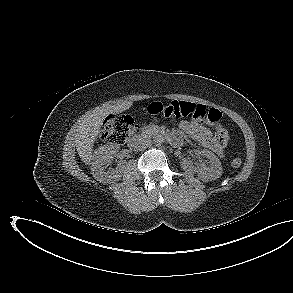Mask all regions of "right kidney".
Segmentation results:
<instances>
[{
  "mask_svg": "<svg viewBox=\"0 0 293 293\" xmlns=\"http://www.w3.org/2000/svg\"><path fill=\"white\" fill-rule=\"evenodd\" d=\"M119 150L117 144H106L100 146L92 157L91 171L93 177L102 183H111L121 177L125 162L119 161L115 169L106 168L112 163L113 158L116 157Z\"/></svg>",
  "mask_w": 293,
  "mask_h": 293,
  "instance_id": "obj_1",
  "label": "right kidney"
}]
</instances>
